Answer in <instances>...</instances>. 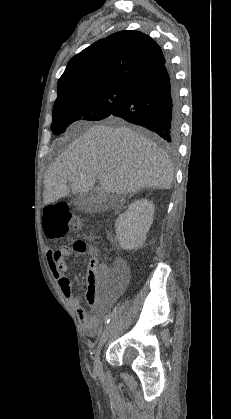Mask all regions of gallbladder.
<instances>
[{
  "mask_svg": "<svg viewBox=\"0 0 231 419\" xmlns=\"http://www.w3.org/2000/svg\"><path fill=\"white\" fill-rule=\"evenodd\" d=\"M84 196H85V195L79 196V197L76 199V202H77V203H80V202H81L82 197H84Z\"/></svg>",
  "mask_w": 231,
  "mask_h": 419,
  "instance_id": "obj_1",
  "label": "gallbladder"
}]
</instances>
